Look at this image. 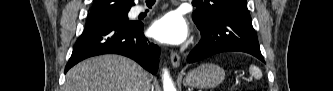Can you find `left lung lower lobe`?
<instances>
[{"label": "left lung lower lobe", "mask_w": 333, "mask_h": 91, "mask_svg": "<svg viewBox=\"0 0 333 91\" xmlns=\"http://www.w3.org/2000/svg\"><path fill=\"white\" fill-rule=\"evenodd\" d=\"M199 30L201 40L190 52L189 63L230 51L246 52L265 62L248 9L221 12Z\"/></svg>", "instance_id": "left-lung-lower-lobe-1"}]
</instances>
